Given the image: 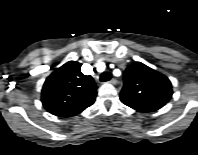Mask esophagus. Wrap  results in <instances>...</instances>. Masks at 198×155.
<instances>
[{"label": "esophagus", "mask_w": 198, "mask_h": 155, "mask_svg": "<svg viewBox=\"0 0 198 155\" xmlns=\"http://www.w3.org/2000/svg\"><path fill=\"white\" fill-rule=\"evenodd\" d=\"M110 84H117V80L115 78H112L110 81H109Z\"/></svg>", "instance_id": "obj_1"}]
</instances>
